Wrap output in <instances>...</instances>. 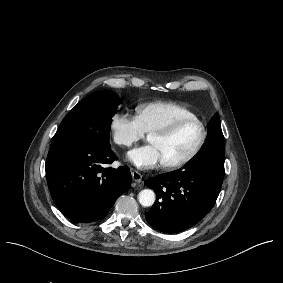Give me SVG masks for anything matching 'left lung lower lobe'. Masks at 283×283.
Here are the masks:
<instances>
[{"label": "left lung lower lobe", "instance_id": "obj_1", "mask_svg": "<svg viewBox=\"0 0 283 283\" xmlns=\"http://www.w3.org/2000/svg\"><path fill=\"white\" fill-rule=\"evenodd\" d=\"M211 150L198 155L183 170L145 181L157 196L145 213L152 227L164 233H178L197 224L212 209L222 186L223 180L217 177L224 170V159Z\"/></svg>", "mask_w": 283, "mask_h": 283}]
</instances>
